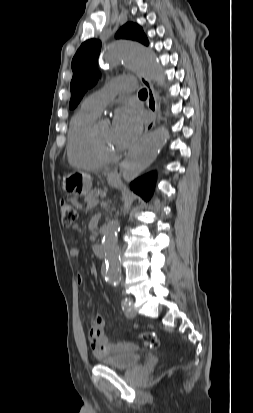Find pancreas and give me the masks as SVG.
<instances>
[{
	"label": "pancreas",
	"instance_id": "pancreas-1",
	"mask_svg": "<svg viewBox=\"0 0 253 413\" xmlns=\"http://www.w3.org/2000/svg\"><path fill=\"white\" fill-rule=\"evenodd\" d=\"M99 196H102L100 190H94L85 196V202L87 203L88 208L94 206V203H98Z\"/></svg>",
	"mask_w": 253,
	"mask_h": 413
}]
</instances>
